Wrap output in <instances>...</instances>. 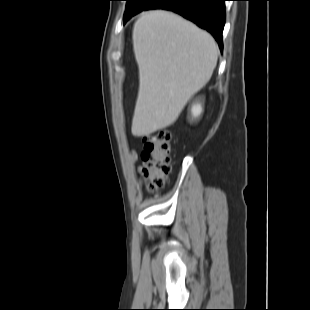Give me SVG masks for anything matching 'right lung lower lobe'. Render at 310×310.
Listing matches in <instances>:
<instances>
[{"label":"right lung lower lobe","mask_w":310,"mask_h":310,"mask_svg":"<svg viewBox=\"0 0 310 310\" xmlns=\"http://www.w3.org/2000/svg\"><path fill=\"white\" fill-rule=\"evenodd\" d=\"M225 1L226 0H157L144 10L166 9L180 14L211 33L222 50V33L225 24ZM132 16L125 17L124 23Z\"/></svg>","instance_id":"right-lung-lower-lobe-1"}]
</instances>
